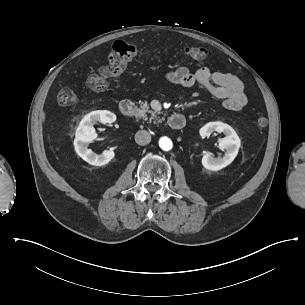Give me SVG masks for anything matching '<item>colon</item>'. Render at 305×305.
Listing matches in <instances>:
<instances>
[{"label": "colon", "mask_w": 305, "mask_h": 305, "mask_svg": "<svg viewBox=\"0 0 305 305\" xmlns=\"http://www.w3.org/2000/svg\"><path fill=\"white\" fill-rule=\"evenodd\" d=\"M185 55L192 60L206 61L208 51L199 46H187ZM142 54L141 49L133 44H118L115 48V62L112 65H104L95 69L87 78V87L93 92H103L108 87L111 77L121 73L128 63L136 56ZM57 102L61 106H71L77 102V97L72 89H62L57 95ZM268 121L264 115L256 119V124L260 128H265Z\"/></svg>", "instance_id": "colon-1"}]
</instances>
